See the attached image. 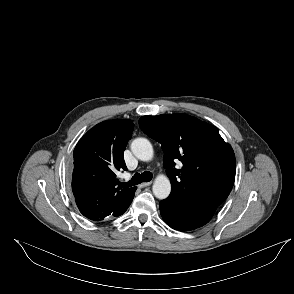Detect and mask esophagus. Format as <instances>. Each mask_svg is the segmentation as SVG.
Listing matches in <instances>:
<instances>
[{"instance_id":"34e87169","label":"esophagus","mask_w":294,"mask_h":294,"mask_svg":"<svg viewBox=\"0 0 294 294\" xmlns=\"http://www.w3.org/2000/svg\"><path fill=\"white\" fill-rule=\"evenodd\" d=\"M151 184H152L151 181H149V182H144V183L140 184L139 187H140V188H143V187L150 186Z\"/></svg>"}]
</instances>
